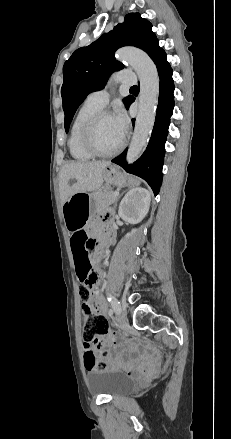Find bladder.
<instances>
[{
  "mask_svg": "<svg viewBox=\"0 0 231 439\" xmlns=\"http://www.w3.org/2000/svg\"><path fill=\"white\" fill-rule=\"evenodd\" d=\"M86 380L89 391L97 395L120 396L138 387L136 378L111 368L90 370Z\"/></svg>",
  "mask_w": 231,
  "mask_h": 439,
  "instance_id": "obj_1",
  "label": "bladder"
}]
</instances>
